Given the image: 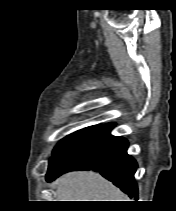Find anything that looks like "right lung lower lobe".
<instances>
[{
    "label": "right lung lower lobe",
    "instance_id": "right-lung-lower-lobe-1",
    "mask_svg": "<svg viewBox=\"0 0 176 211\" xmlns=\"http://www.w3.org/2000/svg\"><path fill=\"white\" fill-rule=\"evenodd\" d=\"M114 126V123H108L90 130L49 165L46 180L50 182L68 171L95 170L137 199L134 180L137 163L127 154L128 141L110 134Z\"/></svg>",
    "mask_w": 176,
    "mask_h": 211
}]
</instances>
